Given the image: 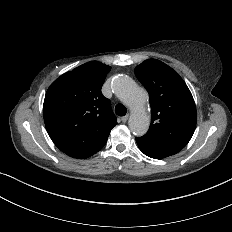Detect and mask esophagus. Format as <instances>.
<instances>
[{
	"mask_svg": "<svg viewBox=\"0 0 232 232\" xmlns=\"http://www.w3.org/2000/svg\"><path fill=\"white\" fill-rule=\"evenodd\" d=\"M128 118H129V115L127 114V115H125V116H123V117L121 118V121H122L123 123H126L127 120H128Z\"/></svg>",
	"mask_w": 232,
	"mask_h": 232,
	"instance_id": "obj_1",
	"label": "esophagus"
}]
</instances>
